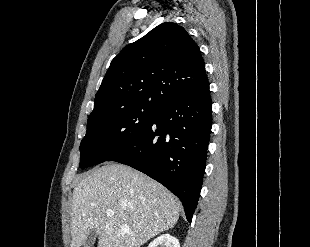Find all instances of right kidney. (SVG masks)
Masks as SVG:
<instances>
[{
    "label": "right kidney",
    "mask_w": 310,
    "mask_h": 247,
    "mask_svg": "<svg viewBox=\"0 0 310 247\" xmlns=\"http://www.w3.org/2000/svg\"><path fill=\"white\" fill-rule=\"evenodd\" d=\"M148 247H180L177 238L170 234H162L153 240Z\"/></svg>",
    "instance_id": "right-kidney-1"
}]
</instances>
